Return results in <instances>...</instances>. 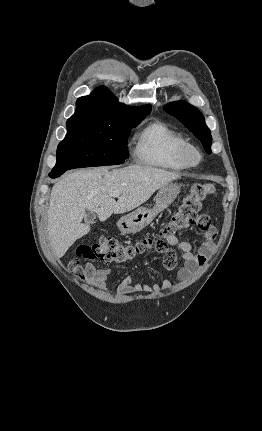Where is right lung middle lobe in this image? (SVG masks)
I'll list each match as a JSON object with an SVG mask.
<instances>
[{"instance_id": "right-lung-middle-lobe-1", "label": "right lung middle lobe", "mask_w": 262, "mask_h": 431, "mask_svg": "<svg viewBox=\"0 0 262 431\" xmlns=\"http://www.w3.org/2000/svg\"><path fill=\"white\" fill-rule=\"evenodd\" d=\"M146 116L67 124L52 172L124 163L128 157L127 136Z\"/></svg>"}]
</instances>
